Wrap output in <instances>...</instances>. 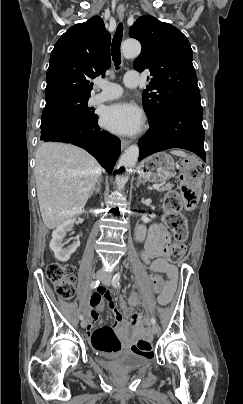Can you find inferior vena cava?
<instances>
[{"label":"inferior vena cava","instance_id":"1","mask_svg":"<svg viewBox=\"0 0 243 404\" xmlns=\"http://www.w3.org/2000/svg\"><path fill=\"white\" fill-rule=\"evenodd\" d=\"M99 272H100V273H103V272H104V269H103V268H100V269H99Z\"/></svg>","mask_w":243,"mask_h":404}]
</instances>
